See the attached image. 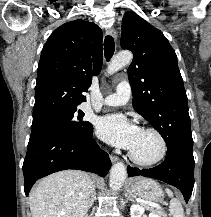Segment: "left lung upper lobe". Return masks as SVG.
Returning <instances> with one entry per match:
<instances>
[{"instance_id":"obj_1","label":"left lung upper lobe","mask_w":211,"mask_h":217,"mask_svg":"<svg viewBox=\"0 0 211 217\" xmlns=\"http://www.w3.org/2000/svg\"><path fill=\"white\" fill-rule=\"evenodd\" d=\"M121 47L134 54L128 68L133 107L167 147L193 148L188 100L177 56L163 33L133 11L122 20Z\"/></svg>"}]
</instances>
